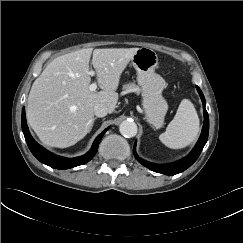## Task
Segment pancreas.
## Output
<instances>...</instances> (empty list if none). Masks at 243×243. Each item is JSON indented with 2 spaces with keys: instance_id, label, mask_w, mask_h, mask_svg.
<instances>
[{
  "instance_id": "1",
  "label": "pancreas",
  "mask_w": 243,
  "mask_h": 243,
  "mask_svg": "<svg viewBox=\"0 0 243 243\" xmlns=\"http://www.w3.org/2000/svg\"><path fill=\"white\" fill-rule=\"evenodd\" d=\"M123 89L125 92H134V93H139L140 88L135 84V83H128L123 86Z\"/></svg>"
}]
</instances>
